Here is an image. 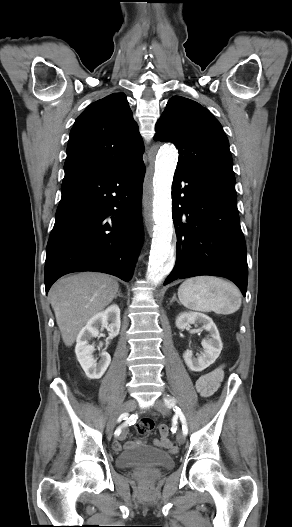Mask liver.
<instances>
[{
    "mask_svg": "<svg viewBox=\"0 0 292 527\" xmlns=\"http://www.w3.org/2000/svg\"><path fill=\"white\" fill-rule=\"evenodd\" d=\"M118 292L119 284L113 277L93 272L64 277L52 285L50 303L66 346L73 345L83 326Z\"/></svg>",
    "mask_w": 292,
    "mask_h": 527,
    "instance_id": "liver-1",
    "label": "liver"
}]
</instances>
